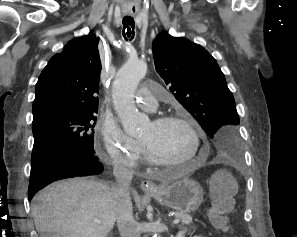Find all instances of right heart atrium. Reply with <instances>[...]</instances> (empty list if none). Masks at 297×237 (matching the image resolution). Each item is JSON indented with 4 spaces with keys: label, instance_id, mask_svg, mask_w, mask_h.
I'll use <instances>...</instances> for the list:
<instances>
[{
    "label": "right heart atrium",
    "instance_id": "right-heart-atrium-1",
    "mask_svg": "<svg viewBox=\"0 0 297 237\" xmlns=\"http://www.w3.org/2000/svg\"><path fill=\"white\" fill-rule=\"evenodd\" d=\"M100 136L104 155L113 165L126 168H135L138 165L142 153L141 145L124 133L113 119H102Z\"/></svg>",
    "mask_w": 297,
    "mask_h": 237
}]
</instances>
